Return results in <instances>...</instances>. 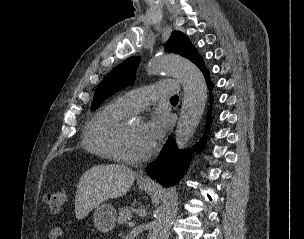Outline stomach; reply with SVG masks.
Listing matches in <instances>:
<instances>
[{
    "label": "stomach",
    "instance_id": "0dacf381",
    "mask_svg": "<svg viewBox=\"0 0 304 239\" xmlns=\"http://www.w3.org/2000/svg\"><path fill=\"white\" fill-rule=\"evenodd\" d=\"M140 189L148 190L149 185L140 184ZM95 227L103 233L111 231L115 226L116 209L111 204L96 206L93 214Z\"/></svg>",
    "mask_w": 304,
    "mask_h": 239
}]
</instances>
